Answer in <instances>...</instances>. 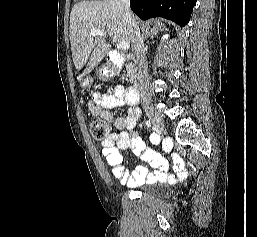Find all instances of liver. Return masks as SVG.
<instances>
[{
	"mask_svg": "<svg viewBox=\"0 0 257 237\" xmlns=\"http://www.w3.org/2000/svg\"><path fill=\"white\" fill-rule=\"evenodd\" d=\"M157 30L166 29L161 21L156 22ZM92 29L106 32L112 42H127L132 45L128 24L124 20L123 9L116 0L100 2L81 1L76 3L70 14V43L72 59L77 71L84 70L77 76L80 82L108 54L111 45L104 36H91Z\"/></svg>",
	"mask_w": 257,
	"mask_h": 237,
	"instance_id": "liver-1",
	"label": "liver"
}]
</instances>
